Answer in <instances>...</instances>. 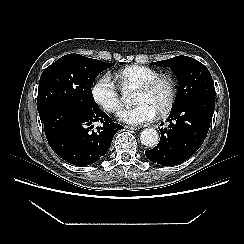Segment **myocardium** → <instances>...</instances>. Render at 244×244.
Returning a JSON list of instances; mask_svg holds the SVG:
<instances>
[{
	"mask_svg": "<svg viewBox=\"0 0 244 244\" xmlns=\"http://www.w3.org/2000/svg\"><path fill=\"white\" fill-rule=\"evenodd\" d=\"M161 82H166L169 86L168 101L165 104V106L157 112V115L159 117H164L171 112L177 99V84L172 76L166 74H159L154 78L150 79L149 81L145 82L141 86H139L137 88V91L151 92Z\"/></svg>",
	"mask_w": 244,
	"mask_h": 244,
	"instance_id": "obj_1",
	"label": "myocardium"
}]
</instances>
